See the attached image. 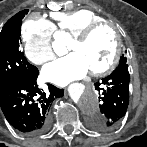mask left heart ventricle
I'll return each mask as SVG.
<instances>
[{
    "label": "left heart ventricle",
    "mask_w": 147,
    "mask_h": 147,
    "mask_svg": "<svg viewBox=\"0 0 147 147\" xmlns=\"http://www.w3.org/2000/svg\"><path fill=\"white\" fill-rule=\"evenodd\" d=\"M115 46L116 38L113 31L103 28L96 31L86 42L72 41L70 49L83 57L89 71H95L102 69L110 62Z\"/></svg>",
    "instance_id": "b2bd125f"
}]
</instances>
